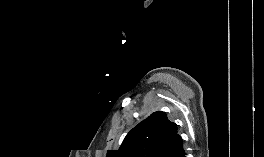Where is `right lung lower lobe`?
Listing matches in <instances>:
<instances>
[{"instance_id": "98d812e1", "label": "right lung lower lobe", "mask_w": 264, "mask_h": 157, "mask_svg": "<svg viewBox=\"0 0 264 157\" xmlns=\"http://www.w3.org/2000/svg\"><path fill=\"white\" fill-rule=\"evenodd\" d=\"M182 157H186V156H185V152H184V154H183V156H182Z\"/></svg>"}]
</instances>
